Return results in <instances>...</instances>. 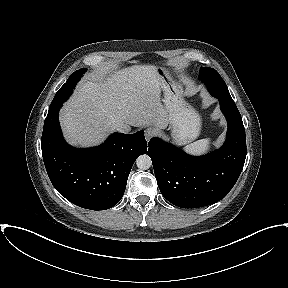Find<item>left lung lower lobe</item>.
Returning a JSON list of instances; mask_svg holds the SVG:
<instances>
[{"label": "left lung lower lobe", "instance_id": "left-lung-lower-lobe-1", "mask_svg": "<svg viewBox=\"0 0 288 288\" xmlns=\"http://www.w3.org/2000/svg\"><path fill=\"white\" fill-rule=\"evenodd\" d=\"M219 101L228 122L227 139L220 149L194 157L159 138L149 141L147 154L159 189L178 207L199 208L223 199L243 169L246 137L241 115L234 102Z\"/></svg>", "mask_w": 288, "mask_h": 288}]
</instances>
